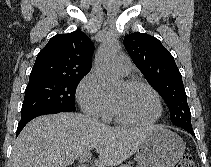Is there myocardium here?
Wrapping results in <instances>:
<instances>
[{
    "instance_id": "myocardium-1",
    "label": "myocardium",
    "mask_w": 211,
    "mask_h": 167,
    "mask_svg": "<svg viewBox=\"0 0 211 167\" xmlns=\"http://www.w3.org/2000/svg\"><path fill=\"white\" fill-rule=\"evenodd\" d=\"M129 88H138V87H143L148 89L149 91L152 92V94L155 96L156 102H157V106H158V113L156 115V117L150 121L147 122H139V121H135L129 117H127L126 115H124L119 108L117 107L116 103L112 100V108H113V113L115 115V117L117 118V120L125 125H130V126H137V127H148V126H152L155 123H157L160 118L162 117L163 114V105H162V100L161 97L158 93V91L151 86L150 84L140 81V80H128L125 83Z\"/></svg>"
}]
</instances>
